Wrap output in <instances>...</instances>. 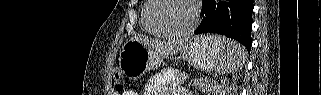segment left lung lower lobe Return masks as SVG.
Wrapping results in <instances>:
<instances>
[{
  "mask_svg": "<svg viewBox=\"0 0 321 95\" xmlns=\"http://www.w3.org/2000/svg\"><path fill=\"white\" fill-rule=\"evenodd\" d=\"M252 0H203L200 33H218L233 38L251 49Z\"/></svg>",
  "mask_w": 321,
  "mask_h": 95,
  "instance_id": "1",
  "label": "left lung lower lobe"
}]
</instances>
